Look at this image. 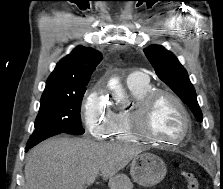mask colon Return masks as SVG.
Segmentation results:
<instances>
[{
    "mask_svg": "<svg viewBox=\"0 0 223 189\" xmlns=\"http://www.w3.org/2000/svg\"><path fill=\"white\" fill-rule=\"evenodd\" d=\"M182 176L187 183V189H200L199 179L195 172L191 170H184L182 172Z\"/></svg>",
    "mask_w": 223,
    "mask_h": 189,
    "instance_id": "obj_1",
    "label": "colon"
}]
</instances>
